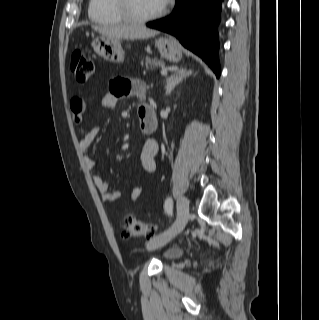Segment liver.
I'll list each match as a JSON object with an SVG mask.
<instances>
[{"mask_svg": "<svg viewBox=\"0 0 319 320\" xmlns=\"http://www.w3.org/2000/svg\"><path fill=\"white\" fill-rule=\"evenodd\" d=\"M99 33L118 39H145L157 35L159 32L146 28L143 25L124 26H94Z\"/></svg>", "mask_w": 319, "mask_h": 320, "instance_id": "liver-1", "label": "liver"}]
</instances>
